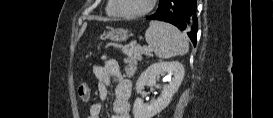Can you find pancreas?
Here are the masks:
<instances>
[{"instance_id":"cf45deb5","label":"pancreas","mask_w":273,"mask_h":118,"mask_svg":"<svg viewBox=\"0 0 273 118\" xmlns=\"http://www.w3.org/2000/svg\"><path fill=\"white\" fill-rule=\"evenodd\" d=\"M132 49V51L130 50ZM129 50H126L127 58L124 60V62L127 64L124 71L128 77H132L136 70H137V60L141 59L142 54V48L140 46H135L130 48Z\"/></svg>"}]
</instances>
